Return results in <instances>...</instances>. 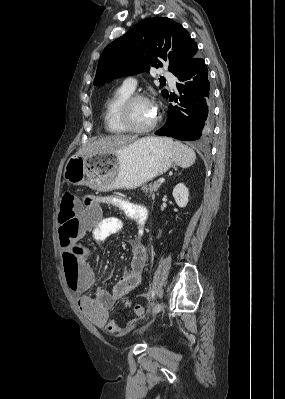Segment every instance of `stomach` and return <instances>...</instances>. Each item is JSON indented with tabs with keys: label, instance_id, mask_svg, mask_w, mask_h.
I'll use <instances>...</instances> for the list:
<instances>
[{
	"label": "stomach",
	"instance_id": "obj_1",
	"mask_svg": "<svg viewBox=\"0 0 285 399\" xmlns=\"http://www.w3.org/2000/svg\"><path fill=\"white\" fill-rule=\"evenodd\" d=\"M174 151L166 138H143L114 153L98 151L71 156L63 177L73 185L98 191L133 189L168 171Z\"/></svg>",
	"mask_w": 285,
	"mask_h": 399
}]
</instances>
